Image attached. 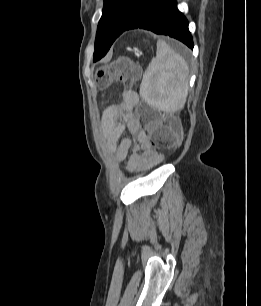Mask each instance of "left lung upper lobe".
I'll use <instances>...</instances> for the list:
<instances>
[{
  "label": "left lung upper lobe",
  "instance_id": "left-lung-upper-lobe-1",
  "mask_svg": "<svg viewBox=\"0 0 261 306\" xmlns=\"http://www.w3.org/2000/svg\"><path fill=\"white\" fill-rule=\"evenodd\" d=\"M145 0H104L103 14L99 21L94 61L101 59L129 24Z\"/></svg>",
  "mask_w": 261,
  "mask_h": 306
}]
</instances>
